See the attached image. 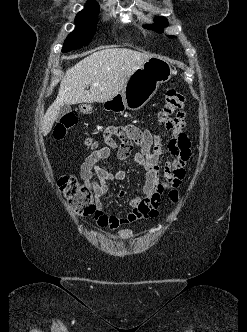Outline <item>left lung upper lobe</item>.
<instances>
[{
  "mask_svg": "<svg viewBox=\"0 0 247 332\" xmlns=\"http://www.w3.org/2000/svg\"><path fill=\"white\" fill-rule=\"evenodd\" d=\"M155 22L156 23L154 25H146L145 27L161 33L162 28L168 25V21L164 17L156 18ZM170 37L173 38L174 36H170Z\"/></svg>",
  "mask_w": 247,
  "mask_h": 332,
  "instance_id": "left-lung-upper-lobe-1",
  "label": "left lung upper lobe"
}]
</instances>
